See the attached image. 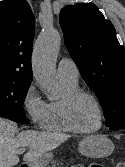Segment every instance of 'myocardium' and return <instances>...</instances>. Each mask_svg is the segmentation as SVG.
<instances>
[{
  "mask_svg": "<svg viewBox=\"0 0 125 167\" xmlns=\"http://www.w3.org/2000/svg\"><path fill=\"white\" fill-rule=\"evenodd\" d=\"M82 98H88V99L92 100L98 109L99 124L94 129L87 130V129L81 128L75 119V108H76L78 101ZM64 111H65V115H66L68 123L78 133L94 134V133H97L103 126L104 113H103L102 105L95 95H93L92 93H89L87 91H83V90L79 89V90L69 94L65 98V101H64Z\"/></svg>",
  "mask_w": 125,
  "mask_h": 167,
  "instance_id": "1",
  "label": "myocardium"
}]
</instances>
